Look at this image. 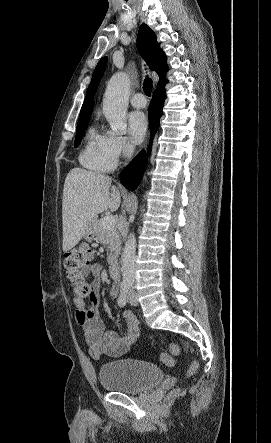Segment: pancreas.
<instances>
[{
	"label": "pancreas",
	"instance_id": "pancreas-1",
	"mask_svg": "<svg viewBox=\"0 0 271 443\" xmlns=\"http://www.w3.org/2000/svg\"><path fill=\"white\" fill-rule=\"evenodd\" d=\"M102 220H96L94 222V227L96 231V239L100 241V243H106L110 249V255H108V261L115 257L117 253L120 251L121 243L118 235V231L112 227V229H104L102 225Z\"/></svg>",
	"mask_w": 271,
	"mask_h": 443
}]
</instances>
